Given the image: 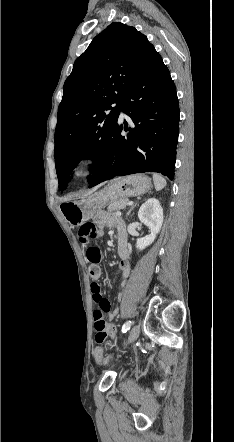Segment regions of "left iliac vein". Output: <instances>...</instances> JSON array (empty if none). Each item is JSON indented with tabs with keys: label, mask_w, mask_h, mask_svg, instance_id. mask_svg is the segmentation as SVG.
Masks as SVG:
<instances>
[{
	"label": "left iliac vein",
	"mask_w": 234,
	"mask_h": 442,
	"mask_svg": "<svg viewBox=\"0 0 234 442\" xmlns=\"http://www.w3.org/2000/svg\"><path fill=\"white\" fill-rule=\"evenodd\" d=\"M139 334H140V326L135 325L129 332L126 345L134 342L139 337Z\"/></svg>",
	"instance_id": "4c4485c4"
}]
</instances>
